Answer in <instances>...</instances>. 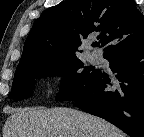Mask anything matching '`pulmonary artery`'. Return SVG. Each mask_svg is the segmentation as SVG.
<instances>
[{
  "instance_id": "1",
  "label": "pulmonary artery",
  "mask_w": 144,
  "mask_h": 137,
  "mask_svg": "<svg viewBox=\"0 0 144 137\" xmlns=\"http://www.w3.org/2000/svg\"><path fill=\"white\" fill-rule=\"evenodd\" d=\"M90 60H91L92 62H95V61H97V56H95V55H92V56H91V58H90Z\"/></svg>"
}]
</instances>
